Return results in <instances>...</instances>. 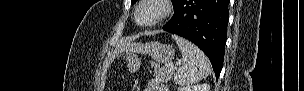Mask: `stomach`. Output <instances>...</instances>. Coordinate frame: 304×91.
Instances as JSON below:
<instances>
[{"label":"stomach","mask_w":304,"mask_h":91,"mask_svg":"<svg viewBox=\"0 0 304 91\" xmlns=\"http://www.w3.org/2000/svg\"><path fill=\"white\" fill-rule=\"evenodd\" d=\"M150 55L157 63H169L174 59L175 50L169 45L158 42L148 44V47L142 51ZM127 68L133 73L140 67V59L136 52L129 53L126 58Z\"/></svg>","instance_id":"0dacf381"}]
</instances>
